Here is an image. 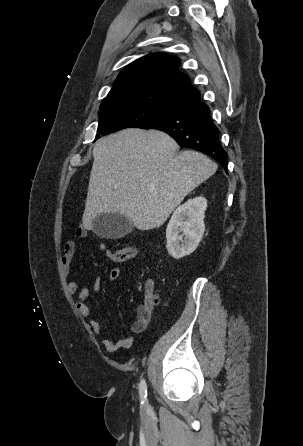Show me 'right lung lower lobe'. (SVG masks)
Masks as SVG:
<instances>
[{
    "label": "right lung lower lobe",
    "instance_id": "98d812e1",
    "mask_svg": "<svg viewBox=\"0 0 303 446\" xmlns=\"http://www.w3.org/2000/svg\"><path fill=\"white\" fill-rule=\"evenodd\" d=\"M139 128L164 131L180 146L203 152L227 171V153L219 142L218 128L210 119L208 106L200 100L160 115Z\"/></svg>",
    "mask_w": 303,
    "mask_h": 446
}]
</instances>
